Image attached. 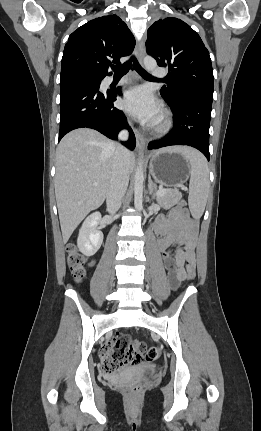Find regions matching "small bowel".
I'll return each instance as SVG.
<instances>
[{
    "label": "small bowel",
    "instance_id": "1",
    "mask_svg": "<svg viewBox=\"0 0 261 431\" xmlns=\"http://www.w3.org/2000/svg\"><path fill=\"white\" fill-rule=\"evenodd\" d=\"M154 231L160 236L156 249L163 254L171 285L176 288L188 275L185 264L194 260L197 224L184 208L175 206L168 215L157 217ZM177 245H184V249L178 247L172 252L171 248ZM139 349L144 355L149 345L142 343Z\"/></svg>",
    "mask_w": 261,
    "mask_h": 431
}]
</instances>
